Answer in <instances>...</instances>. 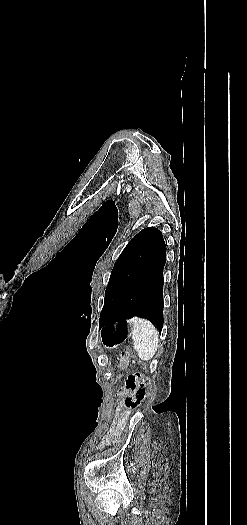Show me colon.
<instances>
[{"mask_svg": "<svg viewBox=\"0 0 247 525\" xmlns=\"http://www.w3.org/2000/svg\"><path fill=\"white\" fill-rule=\"evenodd\" d=\"M119 361L121 366H125L130 362H133V353L130 350L122 352ZM121 366H117V369H121ZM126 383L129 388L135 389V393L126 397L125 405L130 409H134L140 404L142 400H144L147 394V381L145 374L142 372L131 374L128 376Z\"/></svg>", "mask_w": 247, "mask_h": 525, "instance_id": "obj_1", "label": "colon"}]
</instances>
